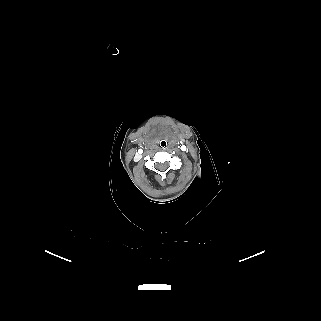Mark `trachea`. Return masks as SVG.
Segmentation results:
<instances>
[{
    "mask_svg": "<svg viewBox=\"0 0 321 321\" xmlns=\"http://www.w3.org/2000/svg\"><path fill=\"white\" fill-rule=\"evenodd\" d=\"M159 144H160L161 148H163V149H164V148H166V146H167L166 142H165V141H163V140H162V141H160V143H159Z\"/></svg>",
    "mask_w": 321,
    "mask_h": 321,
    "instance_id": "obj_1",
    "label": "trachea"
}]
</instances>
